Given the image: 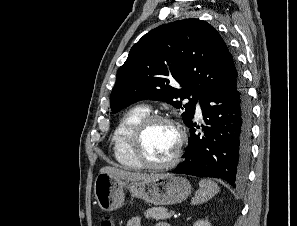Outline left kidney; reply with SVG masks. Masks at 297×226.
I'll return each instance as SVG.
<instances>
[{
	"mask_svg": "<svg viewBox=\"0 0 297 226\" xmlns=\"http://www.w3.org/2000/svg\"><path fill=\"white\" fill-rule=\"evenodd\" d=\"M193 226H211L210 222L206 219H200L194 223Z\"/></svg>",
	"mask_w": 297,
	"mask_h": 226,
	"instance_id": "left-kidney-1",
	"label": "left kidney"
}]
</instances>
